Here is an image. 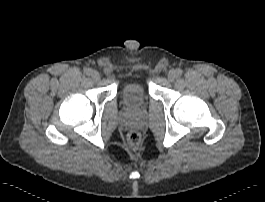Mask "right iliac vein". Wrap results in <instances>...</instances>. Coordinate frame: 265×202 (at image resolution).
I'll list each match as a JSON object with an SVG mask.
<instances>
[{
    "label": "right iliac vein",
    "mask_w": 265,
    "mask_h": 202,
    "mask_svg": "<svg viewBox=\"0 0 265 202\" xmlns=\"http://www.w3.org/2000/svg\"><path fill=\"white\" fill-rule=\"evenodd\" d=\"M91 77L94 81H99L100 80V74L98 71L94 70L91 72Z\"/></svg>",
    "instance_id": "63e3f726"
}]
</instances>
